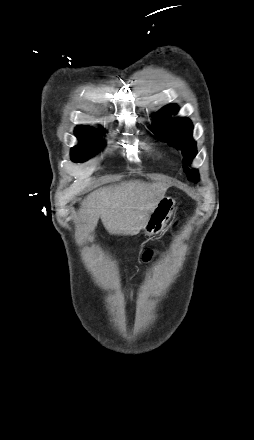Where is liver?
Returning a JSON list of instances; mask_svg holds the SVG:
<instances>
[{
    "mask_svg": "<svg viewBox=\"0 0 254 440\" xmlns=\"http://www.w3.org/2000/svg\"><path fill=\"white\" fill-rule=\"evenodd\" d=\"M168 185L140 180L102 187L81 203V220L93 231L99 218L112 235H136L149 220L151 211L165 196Z\"/></svg>",
    "mask_w": 254,
    "mask_h": 440,
    "instance_id": "6515ba94",
    "label": "liver"
}]
</instances>
